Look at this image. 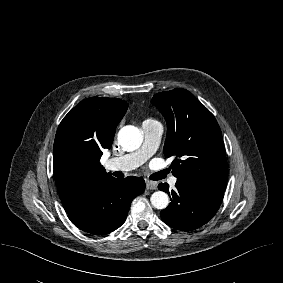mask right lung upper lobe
I'll return each instance as SVG.
<instances>
[{
  "mask_svg": "<svg viewBox=\"0 0 283 283\" xmlns=\"http://www.w3.org/2000/svg\"><path fill=\"white\" fill-rule=\"evenodd\" d=\"M128 103L90 97L61 121L54 140V175L65 211L72 209L99 180L111 177L99 160L112 145Z\"/></svg>",
  "mask_w": 283,
  "mask_h": 283,
  "instance_id": "cb5924a9",
  "label": "right lung upper lobe"
}]
</instances>
